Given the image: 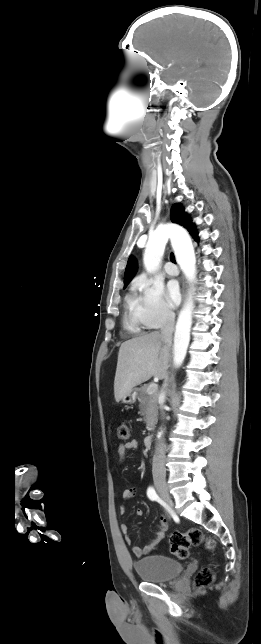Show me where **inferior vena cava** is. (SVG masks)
Instances as JSON below:
<instances>
[{
	"instance_id": "602c4592",
	"label": "inferior vena cava",
	"mask_w": 261,
	"mask_h": 644,
	"mask_svg": "<svg viewBox=\"0 0 261 644\" xmlns=\"http://www.w3.org/2000/svg\"><path fill=\"white\" fill-rule=\"evenodd\" d=\"M174 324H175V314L170 311L166 310L164 312V320L163 324L161 327V335L163 336L164 340L168 343L171 344L172 340V332L174 330ZM168 382V377L165 378L163 387L165 388L167 386ZM160 410L161 414L164 417V406L163 403L160 405ZM165 451H166V446L164 444V441L161 439L158 441L156 447H155V454L153 456V464H152V473L153 475L156 474H165L166 469H165Z\"/></svg>"
}]
</instances>
